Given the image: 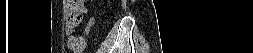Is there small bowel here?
<instances>
[{
	"instance_id": "c3829d8e",
	"label": "small bowel",
	"mask_w": 253,
	"mask_h": 53,
	"mask_svg": "<svg viewBox=\"0 0 253 53\" xmlns=\"http://www.w3.org/2000/svg\"><path fill=\"white\" fill-rule=\"evenodd\" d=\"M94 23V19L90 18L83 29L82 34H77L76 28L66 23L65 32L68 35L67 45L74 52H82L86 45L85 36L88 34L90 27Z\"/></svg>"
}]
</instances>
